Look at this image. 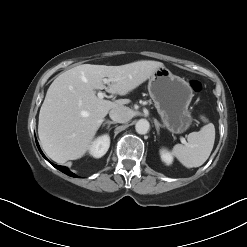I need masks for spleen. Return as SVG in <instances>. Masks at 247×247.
Segmentation results:
<instances>
[{"label":"spleen","mask_w":247,"mask_h":247,"mask_svg":"<svg viewBox=\"0 0 247 247\" xmlns=\"http://www.w3.org/2000/svg\"><path fill=\"white\" fill-rule=\"evenodd\" d=\"M203 121L207 119L202 116ZM187 145L176 144L173 155L187 168L199 167L209 158L215 141V127L212 123L205 125L200 131L187 136Z\"/></svg>","instance_id":"1"}]
</instances>
